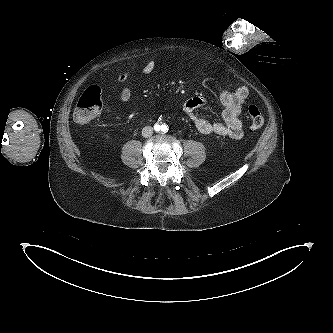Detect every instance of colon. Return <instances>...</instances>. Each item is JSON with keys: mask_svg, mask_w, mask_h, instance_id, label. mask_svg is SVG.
I'll return each instance as SVG.
<instances>
[{"mask_svg": "<svg viewBox=\"0 0 333 333\" xmlns=\"http://www.w3.org/2000/svg\"><path fill=\"white\" fill-rule=\"evenodd\" d=\"M120 81L126 79L125 74H121ZM102 109L101 89L96 85L87 87L79 97L73 117L78 124H87L96 118ZM248 121L251 130L257 131L262 128L264 118L258 107L250 105L247 110Z\"/></svg>", "mask_w": 333, "mask_h": 333, "instance_id": "1", "label": "colon"}]
</instances>
